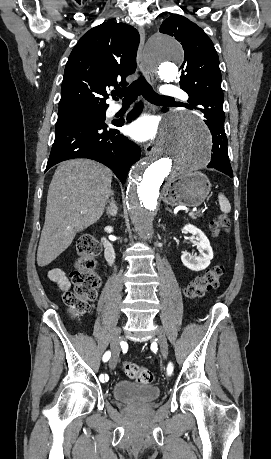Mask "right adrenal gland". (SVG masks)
Masks as SVG:
<instances>
[{
	"mask_svg": "<svg viewBox=\"0 0 271 459\" xmlns=\"http://www.w3.org/2000/svg\"><path fill=\"white\" fill-rule=\"evenodd\" d=\"M111 198H110V202L106 208V214L108 216V218H115V216H117V206H116V202L114 200V194H110Z\"/></svg>",
	"mask_w": 271,
	"mask_h": 459,
	"instance_id": "obj_1",
	"label": "right adrenal gland"
}]
</instances>
